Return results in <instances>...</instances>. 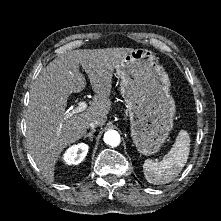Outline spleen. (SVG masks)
I'll return each instance as SVG.
<instances>
[{"instance_id": "3e777b00", "label": "spleen", "mask_w": 221, "mask_h": 221, "mask_svg": "<svg viewBox=\"0 0 221 221\" xmlns=\"http://www.w3.org/2000/svg\"><path fill=\"white\" fill-rule=\"evenodd\" d=\"M189 152V134L187 131L181 130L173 147L161 161L145 160L143 173L146 180L154 185L167 184L173 181L185 166Z\"/></svg>"}]
</instances>
